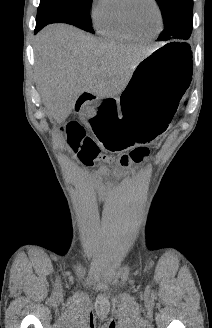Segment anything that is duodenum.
<instances>
[{"label":"duodenum","instance_id":"obj_1","mask_svg":"<svg viewBox=\"0 0 212 328\" xmlns=\"http://www.w3.org/2000/svg\"><path fill=\"white\" fill-rule=\"evenodd\" d=\"M93 100L92 97L90 96H86V97H80L78 100H77V104L79 105L80 109L85 107L86 105H88L89 103H91Z\"/></svg>","mask_w":212,"mask_h":328}]
</instances>
